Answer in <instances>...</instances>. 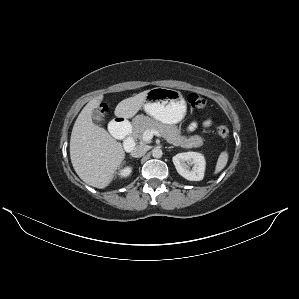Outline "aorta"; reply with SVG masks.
I'll list each match as a JSON object with an SVG mask.
<instances>
[{
  "instance_id": "1",
  "label": "aorta",
  "mask_w": 299,
  "mask_h": 299,
  "mask_svg": "<svg viewBox=\"0 0 299 299\" xmlns=\"http://www.w3.org/2000/svg\"><path fill=\"white\" fill-rule=\"evenodd\" d=\"M162 155H163V152H162V150H161L160 148H154V149L152 150V156H153L154 158H161Z\"/></svg>"
}]
</instances>
